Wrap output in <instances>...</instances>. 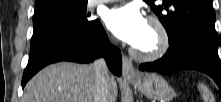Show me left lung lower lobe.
<instances>
[{"label":"left lung lower lobe","mask_w":221,"mask_h":102,"mask_svg":"<svg viewBox=\"0 0 221 102\" xmlns=\"http://www.w3.org/2000/svg\"><path fill=\"white\" fill-rule=\"evenodd\" d=\"M139 69L156 72L198 70L211 76L220 87L221 62L217 45L198 34L186 33L169 42V49L161 59L141 64Z\"/></svg>","instance_id":"obj_1"}]
</instances>
